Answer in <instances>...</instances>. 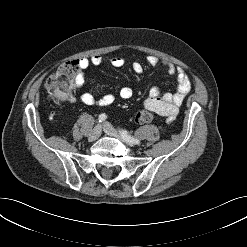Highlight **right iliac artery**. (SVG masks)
<instances>
[{
    "mask_svg": "<svg viewBox=\"0 0 247 247\" xmlns=\"http://www.w3.org/2000/svg\"><path fill=\"white\" fill-rule=\"evenodd\" d=\"M107 119V116H106V114H101V115H99V118H98V120H99V122H103V121H105Z\"/></svg>",
    "mask_w": 247,
    "mask_h": 247,
    "instance_id": "right-iliac-artery-1",
    "label": "right iliac artery"
}]
</instances>
